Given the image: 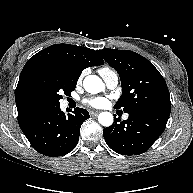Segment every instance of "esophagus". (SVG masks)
Masks as SVG:
<instances>
[{
    "label": "esophagus",
    "instance_id": "obj_1",
    "mask_svg": "<svg viewBox=\"0 0 193 193\" xmlns=\"http://www.w3.org/2000/svg\"><path fill=\"white\" fill-rule=\"evenodd\" d=\"M100 112L99 111H90V116L91 117H96Z\"/></svg>",
    "mask_w": 193,
    "mask_h": 193
}]
</instances>
